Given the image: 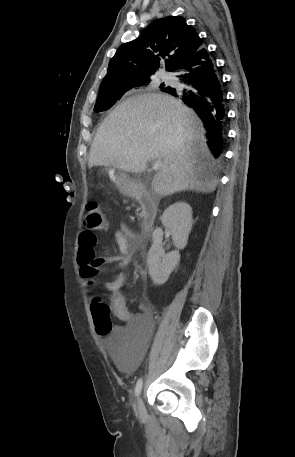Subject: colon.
Segmentation results:
<instances>
[{"mask_svg":"<svg viewBox=\"0 0 295 457\" xmlns=\"http://www.w3.org/2000/svg\"><path fill=\"white\" fill-rule=\"evenodd\" d=\"M84 225L93 231H102L108 227L107 216L99 200L94 199L87 203ZM80 266L82 277L90 280L96 274L95 266L89 264L86 260H81ZM92 316L97 333L100 336H107L112 329L110 308L100 297L94 298L92 302Z\"/></svg>","mask_w":295,"mask_h":457,"instance_id":"1","label":"colon"}]
</instances>
